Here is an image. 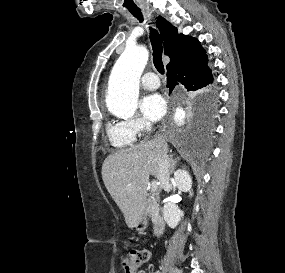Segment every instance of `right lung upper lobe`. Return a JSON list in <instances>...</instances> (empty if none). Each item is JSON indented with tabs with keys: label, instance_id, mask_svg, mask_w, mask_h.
I'll use <instances>...</instances> for the list:
<instances>
[{
	"label": "right lung upper lobe",
	"instance_id": "1",
	"mask_svg": "<svg viewBox=\"0 0 285 273\" xmlns=\"http://www.w3.org/2000/svg\"><path fill=\"white\" fill-rule=\"evenodd\" d=\"M156 23L164 41V54L170 58L167 69L205 52L197 39L183 34L179 35L177 28L163 17L159 16Z\"/></svg>",
	"mask_w": 285,
	"mask_h": 273
}]
</instances>
